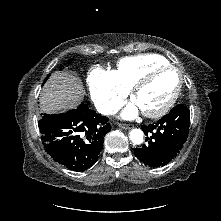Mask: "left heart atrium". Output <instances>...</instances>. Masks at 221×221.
<instances>
[{"mask_svg": "<svg viewBox=\"0 0 221 221\" xmlns=\"http://www.w3.org/2000/svg\"><path fill=\"white\" fill-rule=\"evenodd\" d=\"M139 111V107L136 105V103L130 104L122 113V117L125 119H132L134 118Z\"/></svg>", "mask_w": 221, "mask_h": 221, "instance_id": "1", "label": "left heart atrium"}]
</instances>
